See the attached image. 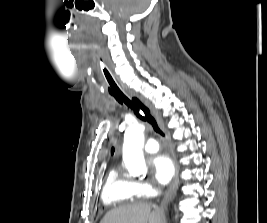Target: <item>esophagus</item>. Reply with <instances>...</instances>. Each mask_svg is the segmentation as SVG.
<instances>
[{
  "mask_svg": "<svg viewBox=\"0 0 267 223\" xmlns=\"http://www.w3.org/2000/svg\"><path fill=\"white\" fill-rule=\"evenodd\" d=\"M150 109H151V112H152L153 116L155 117L159 127L162 130H164V124H163L162 120L160 119L159 114L152 107H150ZM175 190H176V181L171 184L170 188L168 189V191L164 195V197H163V199L161 201L162 205L166 204L171 199V197L175 193Z\"/></svg>",
  "mask_w": 267,
  "mask_h": 223,
  "instance_id": "1",
  "label": "esophagus"
}]
</instances>
